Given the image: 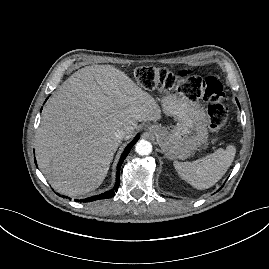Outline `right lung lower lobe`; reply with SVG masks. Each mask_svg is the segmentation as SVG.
Masks as SVG:
<instances>
[{
    "label": "right lung lower lobe",
    "mask_w": 269,
    "mask_h": 269,
    "mask_svg": "<svg viewBox=\"0 0 269 269\" xmlns=\"http://www.w3.org/2000/svg\"><path fill=\"white\" fill-rule=\"evenodd\" d=\"M139 137H140V135L138 134L133 139V141L130 144H128V146L125 148L124 152L121 155V158H120V161H119L118 167H117L118 173H117V176H116V184H115L114 188L112 190L108 191V192L102 193L100 195L92 196V197L86 198V199L81 200V201H83V202H91V201H95V200H99V199L111 198L112 196L115 195V192H117L118 187H119V183H120V178H119L120 167H121L124 159L128 155V153L130 152V149L137 142V140L139 139ZM35 163H36V160H35Z\"/></svg>",
    "instance_id": "right-lung-lower-lobe-1"
}]
</instances>
